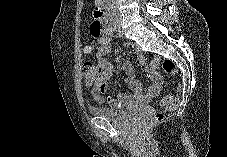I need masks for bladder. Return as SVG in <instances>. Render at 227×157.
I'll use <instances>...</instances> for the list:
<instances>
[{
  "label": "bladder",
  "instance_id": "31cf9c89",
  "mask_svg": "<svg viewBox=\"0 0 227 157\" xmlns=\"http://www.w3.org/2000/svg\"><path fill=\"white\" fill-rule=\"evenodd\" d=\"M90 111L117 125H127L143 113V109L136 105L122 108L96 106L92 107Z\"/></svg>",
  "mask_w": 227,
  "mask_h": 157
}]
</instances>
